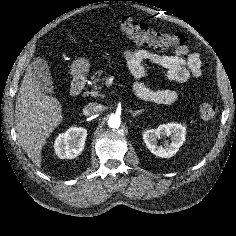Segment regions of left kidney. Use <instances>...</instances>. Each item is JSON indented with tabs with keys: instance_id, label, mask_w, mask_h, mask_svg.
Segmentation results:
<instances>
[{
	"instance_id": "obj_1",
	"label": "left kidney",
	"mask_w": 236,
	"mask_h": 236,
	"mask_svg": "<svg viewBox=\"0 0 236 236\" xmlns=\"http://www.w3.org/2000/svg\"><path fill=\"white\" fill-rule=\"evenodd\" d=\"M170 136L171 143L158 146V139ZM186 138V127L179 123H168L160 125L157 129H150L144 132L143 140L147 148L154 155L162 158H171L183 145Z\"/></svg>"
}]
</instances>
